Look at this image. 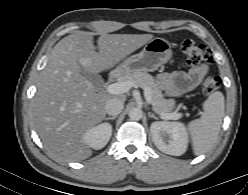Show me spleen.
I'll return each mask as SVG.
<instances>
[{
  "instance_id": "spleen-1",
  "label": "spleen",
  "mask_w": 248,
  "mask_h": 195,
  "mask_svg": "<svg viewBox=\"0 0 248 195\" xmlns=\"http://www.w3.org/2000/svg\"><path fill=\"white\" fill-rule=\"evenodd\" d=\"M224 95L216 91L203 104V115L188 124L195 155L206 153L214 145L224 117Z\"/></svg>"
}]
</instances>
